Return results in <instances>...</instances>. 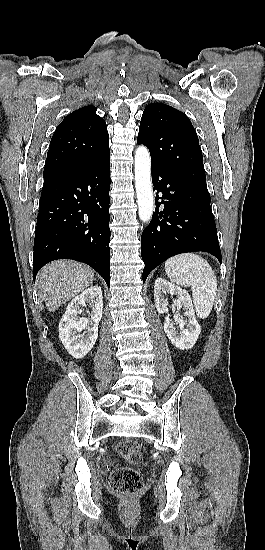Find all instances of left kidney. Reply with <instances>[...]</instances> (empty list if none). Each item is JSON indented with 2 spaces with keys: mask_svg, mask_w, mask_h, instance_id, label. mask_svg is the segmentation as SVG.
Segmentation results:
<instances>
[{
  "mask_svg": "<svg viewBox=\"0 0 265 550\" xmlns=\"http://www.w3.org/2000/svg\"><path fill=\"white\" fill-rule=\"evenodd\" d=\"M166 293L176 296L174 305L177 307V313L174 315V320L182 326V331H176L169 315L165 317L164 331L171 343L180 350L191 349L196 343L201 328L198 324L195 312L189 293L181 287L168 282L165 279L158 278L154 285V301L155 306L160 314L168 312V299L164 296ZM185 309V315L188 320H183L179 314L181 308ZM186 325V328L184 327Z\"/></svg>",
  "mask_w": 265,
  "mask_h": 550,
  "instance_id": "1",
  "label": "left kidney"
}]
</instances>
